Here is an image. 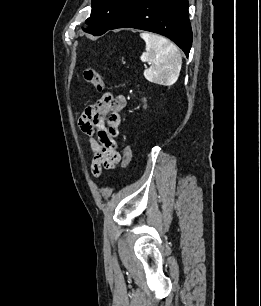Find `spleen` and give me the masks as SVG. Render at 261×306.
Returning <instances> with one entry per match:
<instances>
[{
  "mask_svg": "<svg viewBox=\"0 0 261 306\" xmlns=\"http://www.w3.org/2000/svg\"><path fill=\"white\" fill-rule=\"evenodd\" d=\"M140 37L146 43V51L140 59L152 66L144 71L145 78L153 83L171 86L178 80L182 67L179 49L166 38L143 32Z\"/></svg>",
  "mask_w": 261,
  "mask_h": 306,
  "instance_id": "spleen-1",
  "label": "spleen"
}]
</instances>
